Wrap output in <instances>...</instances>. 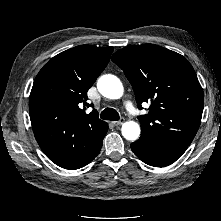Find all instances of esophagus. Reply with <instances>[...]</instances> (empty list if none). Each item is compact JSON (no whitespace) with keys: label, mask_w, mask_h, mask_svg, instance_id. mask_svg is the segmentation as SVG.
Here are the masks:
<instances>
[{"label":"esophagus","mask_w":221,"mask_h":221,"mask_svg":"<svg viewBox=\"0 0 221 221\" xmlns=\"http://www.w3.org/2000/svg\"><path fill=\"white\" fill-rule=\"evenodd\" d=\"M125 119L124 118H121L119 121H114L112 122V124L114 126H119V125H122L124 123Z\"/></svg>","instance_id":"34e87169"}]
</instances>
